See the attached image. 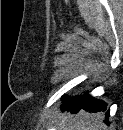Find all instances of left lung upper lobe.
<instances>
[{
  "mask_svg": "<svg viewBox=\"0 0 123 130\" xmlns=\"http://www.w3.org/2000/svg\"><path fill=\"white\" fill-rule=\"evenodd\" d=\"M62 100H63V103H64L62 105V107H66V108L70 109V108L76 107L80 103L81 96L77 95L73 98L63 97Z\"/></svg>",
  "mask_w": 123,
  "mask_h": 130,
  "instance_id": "obj_1",
  "label": "left lung upper lobe"
}]
</instances>
